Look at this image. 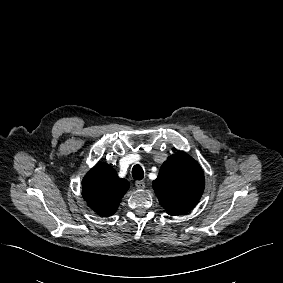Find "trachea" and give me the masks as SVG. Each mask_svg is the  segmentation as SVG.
Listing matches in <instances>:
<instances>
[{
	"mask_svg": "<svg viewBox=\"0 0 283 283\" xmlns=\"http://www.w3.org/2000/svg\"><path fill=\"white\" fill-rule=\"evenodd\" d=\"M132 176L136 180H142L144 177V171L143 168L139 165L136 164L133 169H132Z\"/></svg>",
	"mask_w": 283,
	"mask_h": 283,
	"instance_id": "1",
	"label": "trachea"
}]
</instances>
